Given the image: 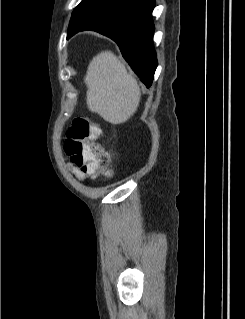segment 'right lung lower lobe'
<instances>
[{
    "label": "right lung lower lobe",
    "mask_w": 245,
    "mask_h": 319,
    "mask_svg": "<svg viewBox=\"0 0 245 319\" xmlns=\"http://www.w3.org/2000/svg\"><path fill=\"white\" fill-rule=\"evenodd\" d=\"M154 7L155 0H130L116 11L78 30H94L113 39L147 87L151 86L157 67L153 45ZM75 33L68 35V38Z\"/></svg>",
    "instance_id": "1"
}]
</instances>
